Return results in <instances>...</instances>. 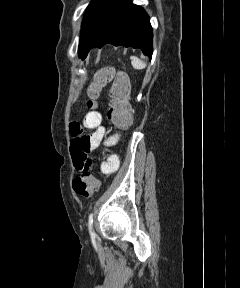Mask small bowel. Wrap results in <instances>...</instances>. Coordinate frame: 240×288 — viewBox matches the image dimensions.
Listing matches in <instances>:
<instances>
[{"label": "small bowel", "instance_id": "small-bowel-1", "mask_svg": "<svg viewBox=\"0 0 240 288\" xmlns=\"http://www.w3.org/2000/svg\"><path fill=\"white\" fill-rule=\"evenodd\" d=\"M92 133L85 134V130ZM69 131L72 136L71 155L74 166L79 171H84L89 165V153L102 143L112 146L116 142L115 136L106 137V129L103 126V115L98 110H92L85 114L82 122H71ZM119 167V159L116 155H110L101 163V171L104 174L115 172Z\"/></svg>", "mask_w": 240, "mask_h": 288}]
</instances>
